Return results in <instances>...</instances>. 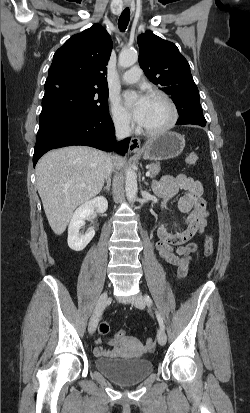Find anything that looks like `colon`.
I'll return each mask as SVG.
<instances>
[{"mask_svg": "<svg viewBox=\"0 0 250 413\" xmlns=\"http://www.w3.org/2000/svg\"><path fill=\"white\" fill-rule=\"evenodd\" d=\"M186 163L189 165H193L198 161V157L195 153H190L189 155H187L186 159H185ZM204 255L206 257H209L212 252H213V239L211 236H206L205 241H204ZM98 331L101 335H105L109 332V324L107 322H101L99 327H98ZM126 329L121 327L118 329V331L116 332V334L114 335V340L115 341H120L121 339H126L127 338V333H126ZM146 346L149 350H153L155 348V341L153 338H148L146 340Z\"/></svg>", "mask_w": 250, "mask_h": 413, "instance_id": "5ec220e1", "label": "colon"}]
</instances>
